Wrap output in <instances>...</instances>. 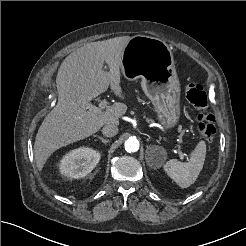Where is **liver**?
I'll return each mask as SVG.
<instances>
[{"label":"liver","instance_id":"6515ba94","mask_svg":"<svg viewBox=\"0 0 246 246\" xmlns=\"http://www.w3.org/2000/svg\"><path fill=\"white\" fill-rule=\"evenodd\" d=\"M130 36L88 43L68 55L58 70V103L40 125L34 143V159L41 171L57 149L91 136L102 126L119 125L127 105L116 102L99 114L87 111L91 100L110 86L124 99L120 86L122 55ZM104 63L109 70H103Z\"/></svg>","mask_w":246,"mask_h":246}]
</instances>
